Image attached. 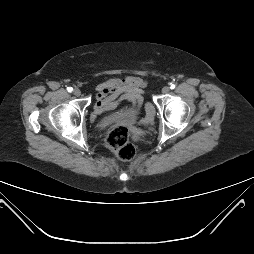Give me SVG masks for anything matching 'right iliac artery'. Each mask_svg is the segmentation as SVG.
I'll list each match as a JSON object with an SVG mask.
<instances>
[{"label": "right iliac artery", "mask_w": 254, "mask_h": 254, "mask_svg": "<svg viewBox=\"0 0 254 254\" xmlns=\"http://www.w3.org/2000/svg\"><path fill=\"white\" fill-rule=\"evenodd\" d=\"M67 90H68V92H72L73 88L72 87H68Z\"/></svg>", "instance_id": "82829eb1"}]
</instances>
